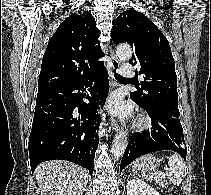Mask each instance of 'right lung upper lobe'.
<instances>
[{
  "label": "right lung upper lobe",
  "mask_w": 211,
  "mask_h": 195,
  "mask_svg": "<svg viewBox=\"0 0 211 195\" xmlns=\"http://www.w3.org/2000/svg\"><path fill=\"white\" fill-rule=\"evenodd\" d=\"M99 35L90 12L73 13L66 18L49 39L42 59L38 91L87 79L103 68V63L98 61L104 56Z\"/></svg>",
  "instance_id": "obj_1"
}]
</instances>
